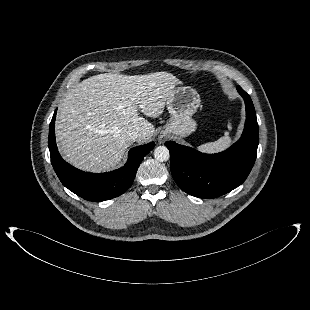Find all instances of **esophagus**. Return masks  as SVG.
Masks as SVG:
<instances>
[{"label":"esophagus","instance_id":"34e87169","mask_svg":"<svg viewBox=\"0 0 310 310\" xmlns=\"http://www.w3.org/2000/svg\"><path fill=\"white\" fill-rule=\"evenodd\" d=\"M162 139H163V136H161V137L159 138V141H162Z\"/></svg>","mask_w":310,"mask_h":310}]
</instances>
